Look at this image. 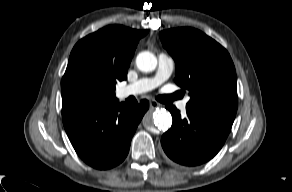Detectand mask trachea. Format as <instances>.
Segmentation results:
<instances>
[{
	"label": "trachea",
	"mask_w": 292,
	"mask_h": 192,
	"mask_svg": "<svg viewBox=\"0 0 292 192\" xmlns=\"http://www.w3.org/2000/svg\"><path fill=\"white\" fill-rule=\"evenodd\" d=\"M177 98H178L177 94H172V95L158 96L156 99L161 103H171L172 101H174Z\"/></svg>",
	"instance_id": "obj_1"
}]
</instances>
